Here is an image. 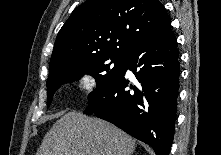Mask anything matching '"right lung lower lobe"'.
Returning a JSON list of instances; mask_svg holds the SVG:
<instances>
[{
  "instance_id": "1",
  "label": "right lung lower lobe",
  "mask_w": 221,
  "mask_h": 155,
  "mask_svg": "<svg viewBox=\"0 0 221 155\" xmlns=\"http://www.w3.org/2000/svg\"><path fill=\"white\" fill-rule=\"evenodd\" d=\"M178 54L170 26L144 37L127 55L116 80L84 113L113 123L150 145L156 155H169L179 93ZM127 69L135 75L134 86L125 78Z\"/></svg>"
}]
</instances>
